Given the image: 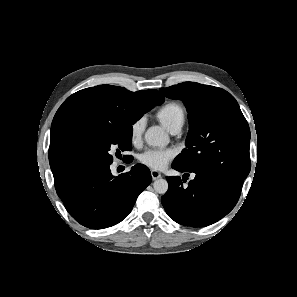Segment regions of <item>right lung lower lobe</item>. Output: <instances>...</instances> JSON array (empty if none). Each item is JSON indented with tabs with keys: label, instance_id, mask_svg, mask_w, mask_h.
Wrapping results in <instances>:
<instances>
[{
	"label": "right lung lower lobe",
	"instance_id": "obj_1",
	"mask_svg": "<svg viewBox=\"0 0 297 297\" xmlns=\"http://www.w3.org/2000/svg\"><path fill=\"white\" fill-rule=\"evenodd\" d=\"M151 180L149 169L142 164L116 177L109 165H103L79 170L56 191L78 223L102 229L121 222Z\"/></svg>",
	"mask_w": 297,
	"mask_h": 297
}]
</instances>
